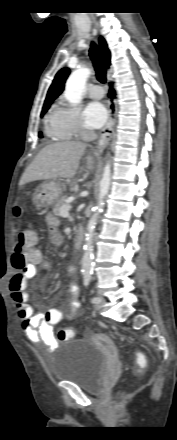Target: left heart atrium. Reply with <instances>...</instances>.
<instances>
[{"label":"left heart atrium","mask_w":177,"mask_h":440,"mask_svg":"<svg viewBox=\"0 0 177 440\" xmlns=\"http://www.w3.org/2000/svg\"><path fill=\"white\" fill-rule=\"evenodd\" d=\"M84 118L90 128H99L107 120V111L99 102H92L84 110Z\"/></svg>","instance_id":"left-heart-atrium-1"}]
</instances>
